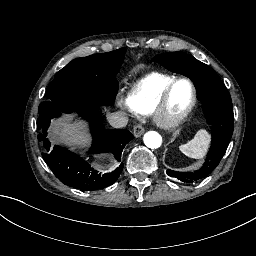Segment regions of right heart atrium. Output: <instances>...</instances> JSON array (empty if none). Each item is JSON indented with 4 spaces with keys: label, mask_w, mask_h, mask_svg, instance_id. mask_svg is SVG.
<instances>
[{
    "label": "right heart atrium",
    "mask_w": 256,
    "mask_h": 256,
    "mask_svg": "<svg viewBox=\"0 0 256 256\" xmlns=\"http://www.w3.org/2000/svg\"><path fill=\"white\" fill-rule=\"evenodd\" d=\"M122 102H121V111L123 112H133L131 108V99L132 96H121Z\"/></svg>",
    "instance_id": "1"
}]
</instances>
